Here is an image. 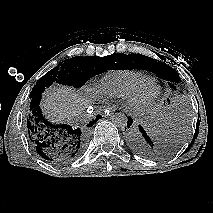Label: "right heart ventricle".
<instances>
[{"mask_svg":"<svg viewBox=\"0 0 213 213\" xmlns=\"http://www.w3.org/2000/svg\"><path fill=\"white\" fill-rule=\"evenodd\" d=\"M150 80V75L141 70L111 71L102 77L99 89L106 96L123 97L131 95Z\"/></svg>","mask_w":213,"mask_h":213,"instance_id":"right-heart-ventricle-1","label":"right heart ventricle"}]
</instances>
